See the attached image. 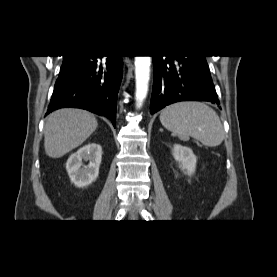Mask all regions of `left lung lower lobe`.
I'll return each mask as SVG.
<instances>
[{
    "label": "left lung lower lobe",
    "instance_id": "obj_1",
    "mask_svg": "<svg viewBox=\"0 0 277 277\" xmlns=\"http://www.w3.org/2000/svg\"><path fill=\"white\" fill-rule=\"evenodd\" d=\"M150 112L178 101L220 104L205 56H153Z\"/></svg>",
    "mask_w": 277,
    "mask_h": 277
}]
</instances>
